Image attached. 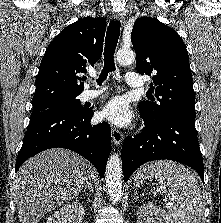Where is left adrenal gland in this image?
I'll return each instance as SVG.
<instances>
[{"label": "left adrenal gland", "mask_w": 221, "mask_h": 223, "mask_svg": "<svg viewBox=\"0 0 221 223\" xmlns=\"http://www.w3.org/2000/svg\"><path fill=\"white\" fill-rule=\"evenodd\" d=\"M138 198H139L138 193H136V197H135V199L137 200Z\"/></svg>", "instance_id": "1"}]
</instances>
